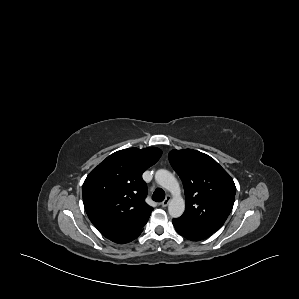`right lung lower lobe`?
<instances>
[{
    "instance_id": "right-lung-lower-lobe-1",
    "label": "right lung lower lobe",
    "mask_w": 299,
    "mask_h": 299,
    "mask_svg": "<svg viewBox=\"0 0 299 299\" xmlns=\"http://www.w3.org/2000/svg\"><path fill=\"white\" fill-rule=\"evenodd\" d=\"M142 231L143 230L141 229L140 231L135 232L133 234L111 238L110 240L115 242V243H118V244L128 243V242L134 240L135 238H137L141 234Z\"/></svg>"
}]
</instances>
